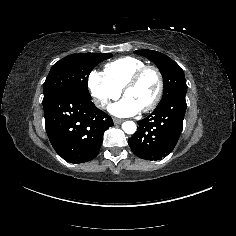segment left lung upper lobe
<instances>
[{"label": "left lung upper lobe", "mask_w": 236, "mask_h": 236, "mask_svg": "<svg viewBox=\"0 0 236 236\" xmlns=\"http://www.w3.org/2000/svg\"><path fill=\"white\" fill-rule=\"evenodd\" d=\"M135 53L145 56L159 68L164 82V93L161 101L169 98L173 94L187 92L184 72L172 59L163 53L147 49L136 50Z\"/></svg>", "instance_id": "5c2ea615"}]
</instances>
